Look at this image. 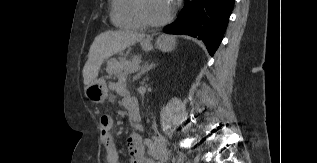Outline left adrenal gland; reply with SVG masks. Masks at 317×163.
I'll list each match as a JSON object with an SVG mask.
<instances>
[{
	"label": "left adrenal gland",
	"mask_w": 317,
	"mask_h": 163,
	"mask_svg": "<svg viewBox=\"0 0 317 163\" xmlns=\"http://www.w3.org/2000/svg\"><path fill=\"white\" fill-rule=\"evenodd\" d=\"M156 66L155 63H149V61H146L143 63L141 70L139 71V73L133 78V80H137L139 79L143 74L147 73L148 71H150L152 68H154Z\"/></svg>",
	"instance_id": "a2214340"
}]
</instances>
